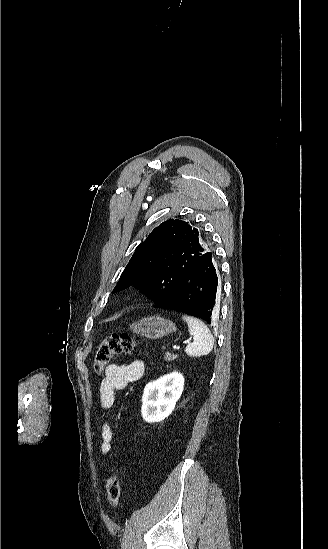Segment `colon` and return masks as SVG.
Returning a JSON list of instances; mask_svg holds the SVG:
<instances>
[{
  "mask_svg": "<svg viewBox=\"0 0 328 549\" xmlns=\"http://www.w3.org/2000/svg\"><path fill=\"white\" fill-rule=\"evenodd\" d=\"M136 345V340L127 333L109 335L97 348L94 358L95 371L101 372L114 356L131 353ZM106 487L108 503L112 508H116L121 494V485L117 474L114 473L108 478Z\"/></svg>",
  "mask_w": 328,
  "mask_h": 549,
  "instance_id": "1",
  "label": "colon"
}]
</instances>
